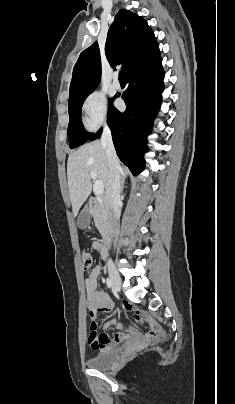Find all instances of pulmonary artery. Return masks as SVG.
I'll return each instance as SVG.
<instances>
[{
  "label": "pulmonary artery",
  "mask_w": 235,
  "mask_h": 404,
  "mask_svg": "<svg viewBox=\"0 0 235 404\" xmlns=\"http://www.w3.org/2000/svg\"><path fill=\"white\" fill-rule=\"evenodd\" d=\"M113 87H114L115 89H117V90L120 89V87H121L117 73H115V74H114V77H113Z\"/></svg>",
  "instance_id": "pulmonary-artery-1"
}]
</instances>
